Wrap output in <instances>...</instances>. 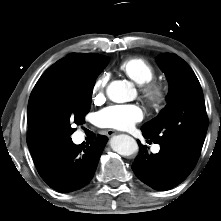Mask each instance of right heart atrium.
<instances>
[{
  "label": "right heart atrium",
  "instance_id": "right-heart-atrium-1",
  "mask_svg": "<svg viewBox=\"0 0 221 221\" xmlns=\"http://www.w3.org/2000/svg\"><path fill=\"white\" fill-rule=\"evenodd\" d=\"M106 84L107 77L105 75L100 76L93 83L92 93L95 101H101L104 99Z\"/></svg>",
  "mask_w": 221,
  "mask_h": 221
}]
</instances>
